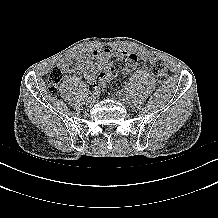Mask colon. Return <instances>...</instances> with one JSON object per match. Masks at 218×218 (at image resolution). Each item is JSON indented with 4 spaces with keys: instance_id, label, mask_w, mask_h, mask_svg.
Wrapping results in <instances>:
<instances>
[{
    "instance_id": "5ec220e1",
    "label": "colon",
    "mask_w": 218,
    "mask_h": 218,
    "mask_svg": "<svg viewBox=\"0 0 218 218\" xmlns=\"http://www.w3.org/2000/svg\"><path fill=\"white\" fill-rule=\"evenodd\" d=\"M150 70L159 82H164L167 79V69L165 64L158 58H152L150 60ZM124 73V69H120L115 66H110L106 70L100 72L93 86L97 89H103L106 83L115 78L120 72ZM63 73L59 67H54L48 77V91L51 94H56L59 84L62 80Z\"/></svg>"
}]
</instances>
